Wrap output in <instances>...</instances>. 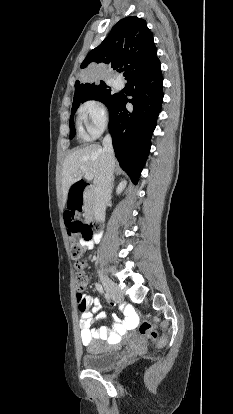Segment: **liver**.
Returning a JSON list of instances; mask_svg holds the SVG:
<instances>
[{
	"instance_id": "obj_1",
	"label": "liver",
	"mask_w": 233,
	"mask_h": 414,
	"mask_svg": "<svg viewBox=\"0 0 233 414\" xmlns=\"http://www.w3.org/2000/svg\"><path fill=\"white\" fill-rule=\"evenodd\" d=\"M103 149L92 144L76 150L66 157L62 168L63 203H67L70 187L79 181L83 174L90 173L95 178L101 166ZM85 169V171L82 170Z\"/></svg>"
}]
</instances>
